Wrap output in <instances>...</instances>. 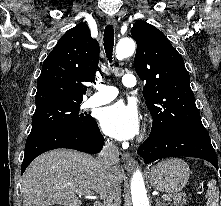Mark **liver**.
<instances>
[{
    "label": "liver",
    "instance_id": "1",
    "mask_svg": "<svg viewBox=\"0 0 221 206\" xmlns=\"http://www.w3.org/2000/svg\"><path fill=\"white\" fill-rule=\"evenodd\" d=\"M125 175L119 169L115 177L99 163L98 158L78 151L57 149L37 157L22 178L23 206H80L79 196L95 192L103 198L114 180L122 183Z\"/></svg>",
    "mask_w": 221,
    "mask_h": 206
}]
</instances>
